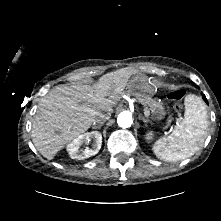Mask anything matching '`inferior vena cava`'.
Masks as SVG:
<instances>
[{"label": "inferior vena cava", "instance_id": "602c4592", "mask_svg": "<svg viewBox=\"0 0 221 221\" xmlns=\"http://www.w3.org/2000/svg\"><path fill=\"white\" fill-rule=\"evenodd\" d=\"M110 118V113H98L93 119L94 125H102Z\"/></svg>", "mask_w": 221, "mask_h": 221}]
</instances>
